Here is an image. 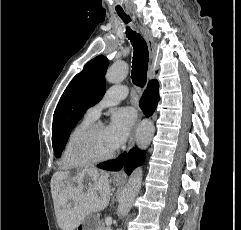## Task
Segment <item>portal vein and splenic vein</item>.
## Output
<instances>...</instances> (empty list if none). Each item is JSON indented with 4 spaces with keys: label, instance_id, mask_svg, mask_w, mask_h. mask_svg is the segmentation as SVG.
Wrapping results in <instances>:
<instances>
[{
    "label": "portal vein and splenic vein",
    "instance_id": "obj_1",
    "mask_svg": "<svg viewBox=\"0 0 241 230\" xmlns=\"http://www.w3.org/2000/svg\"><path fill=\"white\" fill-rule=\"evenodd\" d=\"M105 223H106V225L110 226L111 223H112V219H111V218H107V219L105 220Z\"/></svg>",
    "mask_w": 241,
    "mask_h": 230
}]
</instances>
